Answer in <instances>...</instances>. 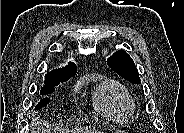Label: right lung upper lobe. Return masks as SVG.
<instances>
[{
  "instance_id": "cb5924a9",
  "label": "right lung upper lobe",
  "mask_w": 184,
  "mask_h": 133,
  "mask_svg": "<svg viewBox=\"0 0 184 133\" xmlns=\"http://www.w3.org/2000/svg\"><path fill=\"white\" fill-rule=\"evenodd\" d=\"M76 72V65L72 62H69L66 67L52 70L46 74L45 86L42 89L53 83H61L67 81L70 77L74 76Z\"/></svg>"
}]
</instances>
